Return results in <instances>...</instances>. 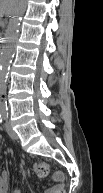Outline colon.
Returning a JSON list of instances; mask_svg holds the SVG:
<instances>
[{
  "label": "colon",
  "instance_id": "obj_1",
  "mask_svg": "<svg viewBox=\"0 0 103 193\" xmlns=\"http://www.w3.org/2000/svg\"><path fill=\"white\" fill-rule=\"evenodd\" d=\"M35 170H36L37 175L39 177H41V178L47 177L50 174V172H51L50 165L48 163H46V162H38L35 165ZM55 179L56 180H60L61 179V175L57 174Z\"/></svg>",
  "mask_w": 103,
  "mask_h": 193
}]
</instances>
